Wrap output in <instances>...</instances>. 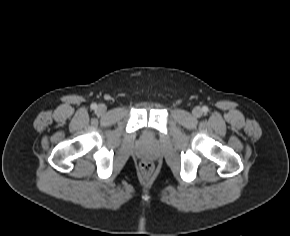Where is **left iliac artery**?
Masks as SVG:
<instances>
[{
  "instance_id": "44dca946",
  "label": "left iliac artery",
  "mask_w": 290,
  "mask_h": 236,
  "mask_svg": "<svg viewBox=\"0 0 290 236\" xmlns=\"http://www.w3.org/2000/svg\"><path fill=\"white\" fill-rule=\"evenodd\" d=\"M202 110H203L204 113H207V112H208V107H207V106H204V107L202 108Z\"/></svg>"
}]
</instances>
